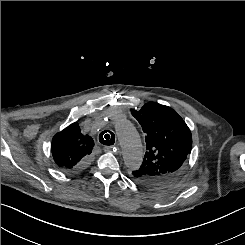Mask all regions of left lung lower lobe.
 Returning a JSON list of instances; mask_svg holds the SVG:
<instances>
[{"label": "left lung lower lobe", "mask_w": 245, "mask_h": 245, "mask_svg": "<svg viewBox=\"0 0 245 245\" xmlns=\"http://www.w3.org/2000/svg\"><path fill=\"white\" fill-rule=\"evenodd\" d=\"M165 185H166V184H164V185H163V184H161L159 187H162V186H165ZM159 187H157V188H159Z\"/></svg>", "instance_id": "left-lung-lower-lobe-1"}]
</instances>
